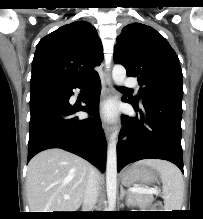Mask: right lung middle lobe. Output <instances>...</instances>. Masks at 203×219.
<instances>
[{
	"label": "right lung middle lobe",
	"mask_w": 203,
	"mask_h": 219,
	"mask_svg": "<svg viewBox=\"0 0 203 219\" xmlns=\"http://www.w3.org/2000/svg\"><path fill=\"white\" fill-rule=\"evenodd\" d=\"M56 83L55 81L51 80H40V81H35V82H30V87L31 89L37 87V86H44V85H50Z\"/></svg>",
	"instance_id": "1"
}]
</instances>
